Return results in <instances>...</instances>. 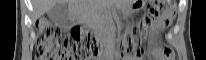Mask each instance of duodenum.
Instances as JSON below:
<instances>
[{
  "instance_id": "1",
  "label": "duodenum",
  "mask_w": 206,
  "mask_h": 60,
  "mask_svg": "<svg viewBox=\"0 0 206 60\" xmlns=\"http://www.w3.org/2000/svg\"><path fill=\"white\" fill-rule=\"evenodd\" d=\"M107 33H111V30L103 29L102 32L100 33V36L104 37L105 34H107Z\"/></svg>"
}]
</instances>
